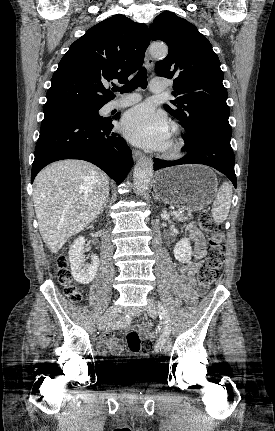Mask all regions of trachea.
I'll list each match as a JSON object with an SVG mask.
<instances>
[{"mask_svg": "<svg viewBox=\"0 0 275 431\" xmlns=\"http://www.w3.org/2000/svg\"><path fill=\"white\" fill-rule=\"evenodd\" d=\"M141 87L142 89H146L147 87V71L145 67H142L135 77L129 81L127 84L123 85L122 87H114L112 88L113 91L120 93H128L134 91L136 88Z\"/></svg>", "mask_w": 275, "mask_h": 431, "instance_id": "obj_1", "label": "trachea"}]
</instances>
